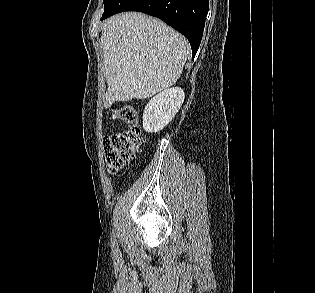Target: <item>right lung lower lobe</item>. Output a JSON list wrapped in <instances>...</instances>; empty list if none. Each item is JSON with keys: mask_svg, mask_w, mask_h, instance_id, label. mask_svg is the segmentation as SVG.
<instances>
[{"mask_svg": "<svg viewBox=\"0 0 315 293\" xmlns=\"http://www.w3.org/2000/svg\"><path fill=\"white\" fill-rule=\"evenodd\" d=\"M208 9V0H112L101 20L123 11H139L158 17L189 40L194 58Z\"/></svg>", "mask_w": 315, "mask_h": 293, "instance_id": "obj_1", "label": "right lung lower lobe"}]
</instances>
